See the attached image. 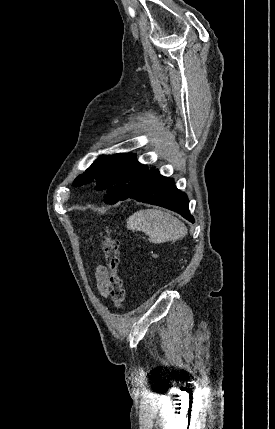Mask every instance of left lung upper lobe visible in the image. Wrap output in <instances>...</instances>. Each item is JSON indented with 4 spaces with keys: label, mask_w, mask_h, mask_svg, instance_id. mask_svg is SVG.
I'll list each match as a JSON object with an SVG mask.
<instances>
[{
    "label": "left lung upper lobe",
    "mask_w": 275,
    "mask_h": 429,
    "mask_svg": "<svg viewBox=\"0 0 275 429\" xmlns=\"http://www.w3.org/2000/svg\"><path fill=\"white\" fill-rule=\"evenodd\" d=\"M147 169V166L136 160L135 154L100 156L82 175L75 179L73 186H81L95 180L96 189L104 190L116 186L119 187V196H122ZM118 200L119 198L108 197L105 199V203L114 204Z\"/></svg>",
    "instance_id": "left-lung-upper-lobe-1"
}]
</instances>
